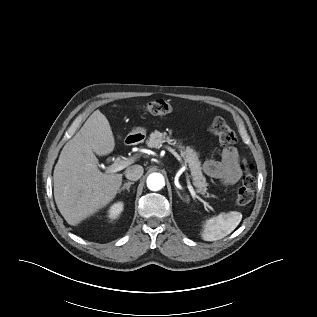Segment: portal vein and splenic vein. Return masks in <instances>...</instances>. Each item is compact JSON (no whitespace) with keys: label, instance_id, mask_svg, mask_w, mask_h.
<instances>
[{"label":"portal vein and splenic vein","instance_id":"portal-vein-and-splenic-vein-1","mask_svg":"<svg viewBox=\"0 0 317 317\" xmlns=\"http://www.w3.org/2000/svg\"><path fill=\"white\" fill-rule=\"evenodd\" d=\"M174 155L175 157L182 162L180 156L173 150V149H169ZM136 160L135 157L133 158H129L127 160H122L120 158H117L115 160V162L108 168L111 172L115 173V172H118V171H121L123 170L124 168H126L127 166H129L130 164H132L134 161ZM194 180V179H193ZM187 181H188V188L192 194L193 197H197L195 195V191L193 189V187L191 186L190 184V180H189V176L187 175ZM198 198V197H197ZM204 205L210 210L212 211L214 214H216V210L211 206L209 205L207 202H204Z\"/></svg>","mask_w":317,"mask_h":317}]
</instances>
